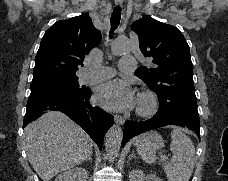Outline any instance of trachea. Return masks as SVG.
Returning <instances> with one entry per match:
<instances>
[{"mask_svg":"<svg viewBox=\"0 0 228 181\" xmlns=\"http://www.w3.org/2000/svg\"><path fill=\"white\" fill-rule=\"evenodd\" d=\"M121 19V8L115 7L112 14H111V31H110V38H112V34L118 28Z\"/></svg>","mask_w":228,"mask_h":181,"instance_id":"3493384b","label":"trachea"}]
</instances>
